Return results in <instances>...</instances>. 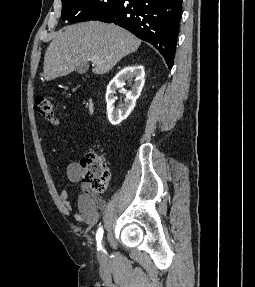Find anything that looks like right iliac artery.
<instances>
[{"label": "right iliac artery", "instance_id": "1", "mask_svg": "<svg viewBox=\"0 0 255 287\" xmlns=\"http://www.w3.org/2000/svg\"><path fill=\"white\" fill-rule=\"evenodd\" d=\"M102 236H103V229L101 227V228L98 229L97 234H96L98 250L102 249V246H101Z\"/></svg>", "mask_w": 255, "mask_h": 287}]
</instances>
